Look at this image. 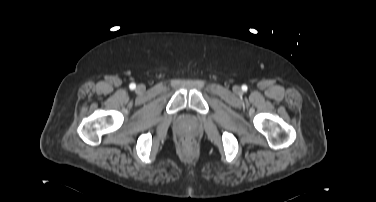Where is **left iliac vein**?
Wrapping results in <instances>:
<instances>
[{"label":"left iliac vein","mask_w":376,"mask_h":202,"mask_svg":"<svg viewBox=\"0 0 376 202\" xmlns=\"http://www.w3.org/2000/svg\"><path fill=\"white\" fill-rule=\"evenodd\" d=\"M236 91H237V92H238V91H240V88H239V87H237V88H236Z\"/></svg>","instance_id":"obj_1"}]
</instances>
